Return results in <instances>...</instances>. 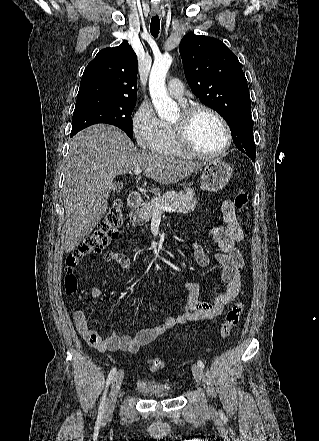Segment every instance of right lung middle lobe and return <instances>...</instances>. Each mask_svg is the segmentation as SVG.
Here are the masks:
<instances>
[{
  "instance_id": "1",
  "label": "right lung middle lobe",
  "mask_w": 319,
  "mask_h": 441,
  "mask_svg": "<svg viewBox=\"0 0 319 441\" xmlns=\"http://www.w3.org/2000/svg\"><path fill=\"white\" fill-rule=\"evenodd\" d=\"M135 104L136 101L121 99H77L72 117L70 137L93 124L107 123L119 127L132 138L131 114Z\"/></svg>"
}]
</instances>
